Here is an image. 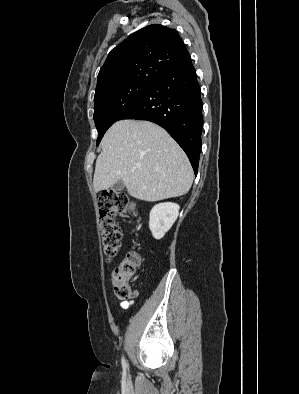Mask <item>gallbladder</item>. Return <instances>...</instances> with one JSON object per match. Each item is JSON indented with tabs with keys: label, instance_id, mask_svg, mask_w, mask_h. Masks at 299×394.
Returning a JSON list of instances; mask_svg holds the SVG:
<instances>
[{
	"label": "gallbladder",
	"instance_id": "1",
	"mask_svg": "<svg viewBox=\"0 0 299 394\" xmlns=\"http://www.w3.org/2000/svg\"><path fill=\"white\" fill-rule=\"evenodd\" d=\"M125 188V185L122 180L117 181L113 186V191H122Z\"/></svg>",
	"mask_w": 299,
	"mask_h": 394
}]
</instances>
